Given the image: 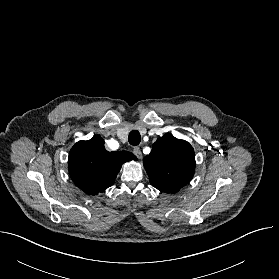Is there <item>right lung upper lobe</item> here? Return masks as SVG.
<instances>
[{
    "instance_id": "right-lung-upper-lobe-1",
    "label": "right lung upper lobe",
    "mask_w": 279,
    "mask_h": 279,
    "mask_svg": "<svg viewBox=\"0 0 279 279\" xmlns=\"http://www.w3.org/2000/svg\"><path fill=\"white\" fill-rule=\"evenodd\" d=\"M131 160H136V156L130 152H108L104 148V140L96 135L72 147L68 169L79 188L87 194L96 195L112 186L121 165Z\"/></svg>"
}]
</instances>
